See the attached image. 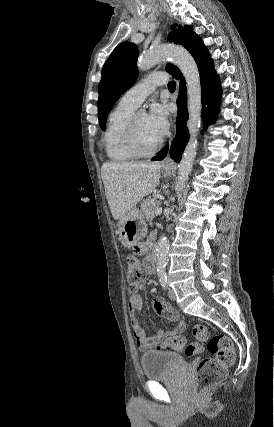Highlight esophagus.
<instances>
[{
    "label": "esophagus",
    "mask_w": 274,
    "mask_h": 427,
    "mask_svg": "<svg viewBox=\"0 0 274 427\" xmlns=\"http://www.w3.org/2000/svg\"><path fill=\"white\" fill-rule=\"evenodd\" d=\"M172 163H173V162H172V160L170 159L169 155H167V157H165V159H164V160H162V162H161V166H162V168H164V167H169Z\"/></svg>",
    "instance_id": "obj_1"
}]
</instances>
